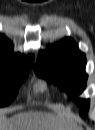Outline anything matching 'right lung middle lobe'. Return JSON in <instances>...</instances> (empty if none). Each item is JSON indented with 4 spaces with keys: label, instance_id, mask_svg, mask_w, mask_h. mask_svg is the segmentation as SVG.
<instances>
[{
    "label": "right lung middle lobe",
    "instance_id": "obj_1",
    "mask_svg": "<svg viewBox=\"0 0 95 130\" xmlns=\"http://www.w3.org/2000/svg\"><path fill=\"white\" fill-rule=\"evenodd\" d=\"M29 71H0V106H5L12 102L18 92L19 86L27 78Z\"/></svg>",
    "mask_w": 95,
    "mask_h": 130
}]
</instances>
